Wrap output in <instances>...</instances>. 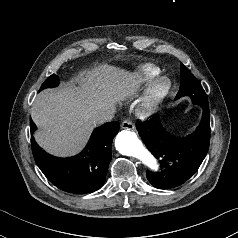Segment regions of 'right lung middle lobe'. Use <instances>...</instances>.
I'll use <instances>...</instances> for the list:
<instances>
[{
  "instance_id": "right-lung-middle-lobe-1",
  "label": "right lung middle lobe",
  "mask_w": 238,
  "mask_h": 238,
  "mask_svg": "<svg viewBox=\"0 0 238 238\" xmlns=\"http://www.w3.org/2000/svg\"><path fill=\"white\" fill-rule=\"evenodd\" d=\"M59 84V78L55 75L52 74L50 77H48L44 83L42 84L41 88L39 91L45 89V88H51V87H55Z\"/></svg>"
}]
</instances>
